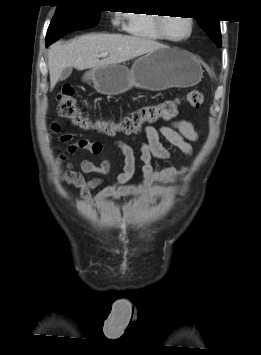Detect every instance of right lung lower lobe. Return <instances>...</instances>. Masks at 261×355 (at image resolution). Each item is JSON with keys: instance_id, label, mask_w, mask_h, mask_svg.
<instances>
[{"instance_id": "1", "label": "right lung lower lobe", "mask_w": 261, "mask_h": 355, "mask_svg": "<svg viewBox=\"0 0 261 355\" xmlns=\"http://www.w3.org/2000/svg\"><path fill=\"white\" fill-rule=\"evenodd\" d=\"M66 34H67V33H66ZM63 35H65V34H62V35L57 36V37H55V38L46 40V46H49V45L52 44L54 41H56V40H58L60 37H62Z\"/></svg>"}]
</instances>
